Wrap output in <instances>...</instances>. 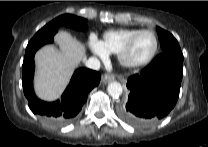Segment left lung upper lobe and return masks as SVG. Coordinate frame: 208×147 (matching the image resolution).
Masks as SVG:
<instances>
[{
	"instance_id": "1",
	"label": "left lung upper lobe",
	"mask_w": 208,
	"mask_h": 147,
	"mask_svg": "<svg viewBox=\"0 0 208 147\" xmlns=\"http://www.w3.org/2000/svg\"><path fill=\"white\" fill-rule=\"evenodd\" d=\"M156 30L163 52H172L178 55H182L180 46L171 33L159 27H156Z\"/></svg>"
}]
</instances>
